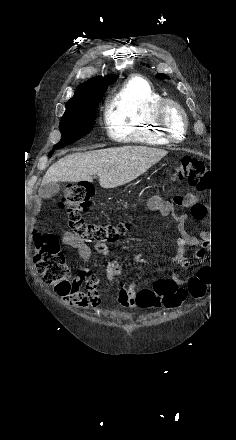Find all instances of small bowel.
<instances>
[{"label":"small bowel","instance_id":"1","mask_svg":"<svg viewBox=\"0 0 236 440\" xmlns=\"http://www.w3.org/2000/svg\"><path fill=\"white\" fill-rule=\"evenodd\" d=\"M150 211L157 213L161 217L174 215L177 220V228L179 237L176 240V250L171 256L169 263L159 268L160 271H165L168 268L173 269V276L177 285L189 284L193 278H178V274L182 270H186L191 266V262L186 257V250L195 247L198 243L197 237L189 234L185 229V221L188 216L185 213H176V207L189 208L191 210V217L196 220L204 219V208L198 204L194 194H187L185 196H175L171 200H164L159 196H152L147 203ZM60 243L63 246L74 248L78 251L79 256L85 261H90L92 257V249L84 243L80 238L73 233L66 231L60 238ZM94 250L102 255H107L109 252L106 244H96ZM137 262L144 263L145 259L142 257L136 258ZM122 273L118 262H108L105 269L106 283L105 287L115 286L116 294L119 302L127 307L134 308L138 305V298L142 291L136 292L132 284L126 282L120 277ZM101 282L99 274L91 273L87 269L81 270L76 280L73 283L71 292L64 296V299L71 305L79 309H97L100 304V296L98 286ZM85 289V291H83ZM162 304H152L148 308H159Z\"/></svg>","mask_w":236,"mask_h":440}]
</instances>
